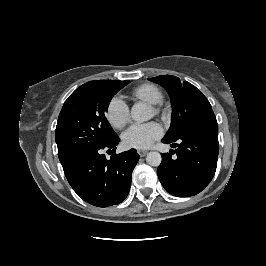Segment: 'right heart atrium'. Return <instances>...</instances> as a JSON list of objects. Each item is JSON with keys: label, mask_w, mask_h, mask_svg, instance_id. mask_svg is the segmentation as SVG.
I'll return each mask as SVG.
<instances>
[{"label": "right heart atrium", "mask_w": 266, "mask_h": 266, "mask_svg": "<svg viewBox=\"0 0 266 266\" xmlns=\"http://www.w3.org/2000/svg\"><path fill=\"white\" fill-rule=\"evenodd\" d=\"M106 116L110 124L116 128H123L130 120L129 107L119 97H114L107 107Z\"/></svg>", "instance_id": "d8ad5b80"}]
</instances>
